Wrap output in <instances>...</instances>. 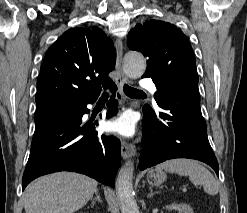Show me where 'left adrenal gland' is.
I'll return each mask as SVG.
<instances>
[{
    "mask_svg": "<svg viewBox=\"0 0 247 213\" xmlns=\"http://www.w3.org/2000/svg\"><path fill=\"white\" fill-rule=\"evenodd\" d=\"M150 193L147 195V197H152L154 194H157L158 192H153L152 187H149Z\"/></svg>",
    "mask_w": 247,
    "mask_h": 213,
    "instance_id": "a2214340",
    "label": "left adrenal gland"
}]
</instances>
